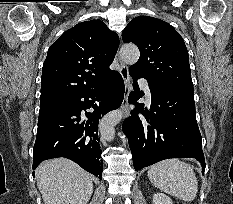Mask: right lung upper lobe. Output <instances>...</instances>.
<instances>
[{
    "mask_svg": "<svg viewBox=\"0 0 233 204\" xmlns=\"http://www.w3.org/2000/svg\"><path fill=\"white\" fill-rule=\"evenodd\" d=\"M119 40L103 21L91 20L64 32L48 49L41 77L42 103L68 100L95 88L111 73Z\"/></svg>",
    "mask_w": 233,
    "mask_h": 204,
    "instance_id": "obj_1",
    "label": "right lung upper lobe"
}]
</instances>
